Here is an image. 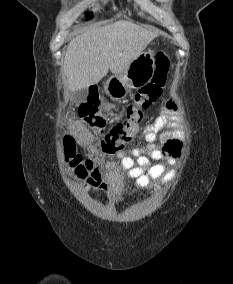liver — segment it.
I'll list each match as a JSON object with an SVG mask.
<instances>
[{"mask_svg": "<svg viewBox=\"0 0 233 284\" xmlns=\"http://www.w3.org/2000/svg\"><path fill=\"white\" fill-rule=\"evenodd\" d=\"M158 36L130 21L92 27L73 38L64 57L63 74L71 92L97 84L110 70L119 75Z\"/></svg>", "mask_w": 233, "mask_h": 284, "instance_id": "obj_1", "label": "liver"}]
</instances>
